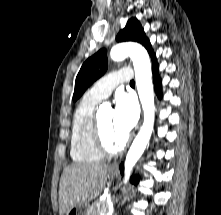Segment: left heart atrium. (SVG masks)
Here are the masks:
<instances>
[{"label":"left heart atrium","mask_w":221,"mask_h":215,"mask_svg":"<svg viewBox=\"0 0 221 215\" xmlns=\"http://www.w3.org/2000/svg\"><path fill=\"white\" fill-rule=\"evenodd\" d=\"M113 126L115 131L127 138L138 120V106L135 99L125 93L116 96Z\"/></svg>","instance_id":"1"}]
</instances>
